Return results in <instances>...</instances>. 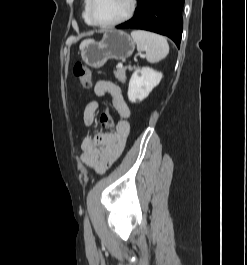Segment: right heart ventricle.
Masks as SVG:
<instances>
[{"label": "right heart ventricle", "instance_id": "e07e8e85", "mask_svg": "<svg viewBox=\"0 0 247 265\" xmlns=\"http://www.w3.org/2000/svg\"><path fill=\"white\" fill-rule=\"evenodd\" d=\"M88 3H89V0H84L83 19H84L86 24L92 25L90 20H89L88 13H87Z\"/></svg>", "mask_w": 247, "mask_h": 265}]
</instances>
